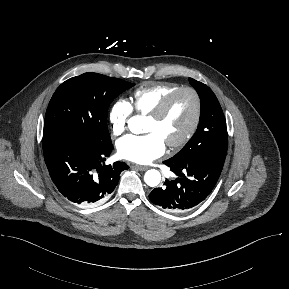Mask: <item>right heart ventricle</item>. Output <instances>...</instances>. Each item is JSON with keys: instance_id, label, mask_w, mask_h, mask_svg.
Segmentation results:
<instances>
[{"instance_id": "1", "label": "right heart ventricle", "mask_w": 289, "mask_h": 289, "mask_svg": "<svg viewBox=\"0 0 289 289\" xmlns=\"http://www.w3.org/2000/svg\"><path fill=\"white\" fill-rule=\"evenodd\" d=\"M179 88L172 83H151L136 89L132 97L133 110L142 115H148L172 91Z\"/></svg>"}]
</instances>
